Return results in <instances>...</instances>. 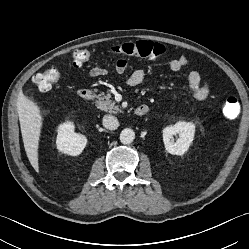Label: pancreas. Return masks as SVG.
Listing matches in <instances>:
<instances>
[{"label":"pancreas","mask_w":249,"mask_h":249,"mask_svg":"<svg viewBox=\"0 0 249 249\" xmlns=\"http://www.w3.org/2000/svg\"><path fill=\"white\" fill-rule=\"evenodd\" d=\"M97 99L98 100L95 102L97 108L113 114L121 112L118 105H116V102L111 100L110 94L100 93L97 95Z\"/></svg>","instance_id":"cf45deb5"}]
</instances>
